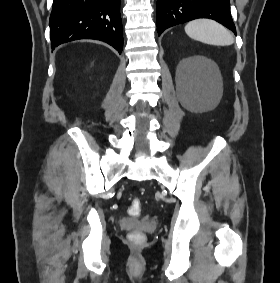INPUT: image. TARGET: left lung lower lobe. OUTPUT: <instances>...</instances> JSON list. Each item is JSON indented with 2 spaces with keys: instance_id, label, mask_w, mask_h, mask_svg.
<instances>
[{
  "instance_id": "left-lung-lower-lobe-1",
  "label": "left lung lower lobe",
  "mask_w": 280,
  "mask_h": 283,
  "mask_svg": "<svg viewBox=\"0 0 280 283\" xmlns=\"http://www.w3.org/2000/svg\"><path fill=\"white\" fill-rule=\"evenodd\" d=\"M196 18L216 20L236 34L230 0H157V32Z\"/></svg>"
}]
</instances>
